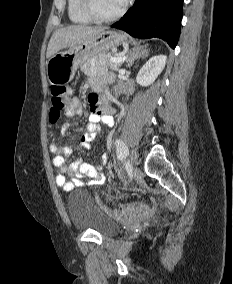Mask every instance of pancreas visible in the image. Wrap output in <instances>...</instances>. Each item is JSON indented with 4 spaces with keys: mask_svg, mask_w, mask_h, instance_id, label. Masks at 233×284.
<instances>
[{
    "mask_svg": "<svg viewBox=\"0 0 233 284\" xmlns=\"http://www.w3.org/2000/svg\"><path fill=\"white\" fill-rule=\"evenodd\" d=\"M112 57L113 53H102L84 63L81 66V71L88 76L106 73L108 69L116 71L120 68L121 63H114L110 61V58Z\"/></svg>",
    "mask_w": 233,
    "mask_h": 284,
    "instance_id": "1",
    "label": "pancreas"
}]
</instances>
